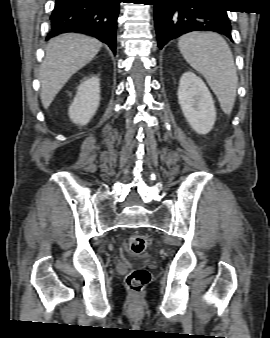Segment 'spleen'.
<instances>
[{
	"instance_id": "obj_1",
	"label": "spleen",
	"mask_w": 270,
	"mask_h": 338,
	"mask_svg": "<svg viewBox=\"0 0 270 338\" xmlns=\"http://www.w3.org/2000/svg\"><path fill=\"white\" fill-rule=\"evenodd\" d=\"M178 47L187 63L204 76L223 112L230 114L236 99L238 76L225 39L217 33L191 32L179 38Z\"/></svg>"
}]
</instances>
